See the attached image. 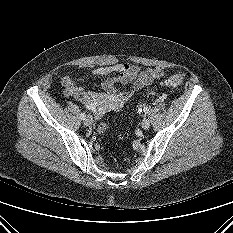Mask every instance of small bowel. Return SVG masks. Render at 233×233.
Returning a JSON list of instances; mask_svg holds the SVG:
<instances>
[{"label": "small bowel", "mask_w": 233, "mask_h": 233, "mask_svg": "<svg viewBox=\"0 0 233 233\" xmlns=\"http://www.w3.org/2000/svg\"><path fill=\"white\" fill-rule=\"evenodd\" d=\"M113 73L116 74L115 77L107 78L102 83V93L88 91L70 77H64L62 83L74 99L99 117L106 112L120 110L137 91L166 75L163 68L141 71L139 67L127 63L102 66L91 72L93 76H107ZM119 85H128L129 88L124 90Z\"/></svg>", "instance_id": "obj_1"}]
</instances>
